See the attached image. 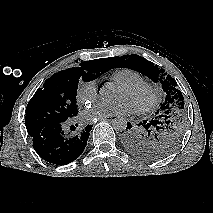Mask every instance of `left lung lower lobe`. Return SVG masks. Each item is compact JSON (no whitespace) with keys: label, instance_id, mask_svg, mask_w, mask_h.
<instances>
[{"label":"left lung lower lobe","instance_id":"1","mask_svg":"<svg viewBox=\"0 0 213 213\" xmlns=\"http://www.w3.org/2000/svg\"><path fill=\"white\" fill-rule=\"evenodd\" d=\"M138 126L139 127L133 128L132 124L128 123L127 128H126L127 130L122 132L123 133V136H122L123 143L129 150H130V148L134 147V145L136 144L137 134L139 133L140 129H142L143 127H146V124L142 123Z\"/></svg>","mask_w":213,"mask_h":213}]
</instances>
